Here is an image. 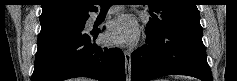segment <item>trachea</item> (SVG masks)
Wrapping results in <instances>:
<instances>
[{
	"mask_svg": "<svg viewBox=\"0 0 237 81\" xmlns=\"http://www.w3.org/2000/svg\"><path fill=\"white\" fill-rule=\"evenodd\" d=\"M119 2L117 1H104L102 2L101 5V9L102 10H106L108 9L111 5H118Z\"/></svg>",
	"mask_w": 237,
	"mask_h": 81,
	"instance_id": "1",
	"label": "trachea"
}]
</instances>
